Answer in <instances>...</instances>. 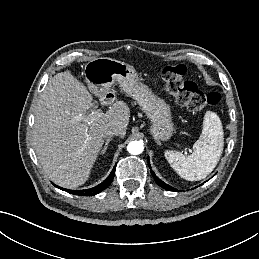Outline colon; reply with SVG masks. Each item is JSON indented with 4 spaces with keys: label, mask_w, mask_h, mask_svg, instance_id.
Instances as JSON below:
<instances>
[{
    "label": "colon",
    "mask_w": 259,
    "mask_h": 259,
    "mask_svg": "<svg viewBox=\"0 0 259 259\" xmlns=\"http://www.w3.org/2000/svg\"><path fill=\"white\" fill-rule=\"evenodd\" d=\"M186 71L183 64L165 67L162 72L165 91L190 111L216 106L221 101V95L218 92L203 93L195 83L185 80Z\"/></svg>",
    "instance_id": "obj_1"
}]
</instances>
